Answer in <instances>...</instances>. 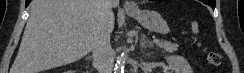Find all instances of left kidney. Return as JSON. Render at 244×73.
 Instances as JSON below:
<instances>
[{"mask_svg":"<svg viewBox=\"0 0 244 73\" xmlns=\"http://www.w3.org/2000/svg\"><path fill=\"white\" fill-rule=\"evenodd\" d=\"M171 73H193V70L188 61L179 55L166 57Z\"/></svg>","mask_w":244,"mask_h":73,"instance_id":"1","label":"left kidney"}]
</instances>
